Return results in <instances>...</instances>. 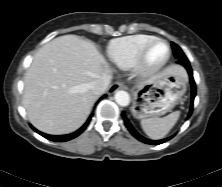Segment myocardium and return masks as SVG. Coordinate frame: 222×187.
Listing matches in <instances>:
<instances>
[{
	"mask_svg": "<svg viewBox=\"0 0 222 187\" xmlns=\"http://www.w3.org/2000/svg\"><path fill=\"white\" fill-rule=\"evenodd\" d=\"M160 43L166 45L167 53L160 62L152 63L149 60L151 51L156 44ZM170 57L171 47L169 43L164 39L155 38L150 41L147 45H145L144 48L141 50L139 57L135 63V66L133 67L134 71L141 77H150L161 71L169 62Z\"/></svg>",
	"mask_w": 222,
	"mask_h": 187,
	"instance_id": "1",
	"label": "myocardium"
}]
</instances>
